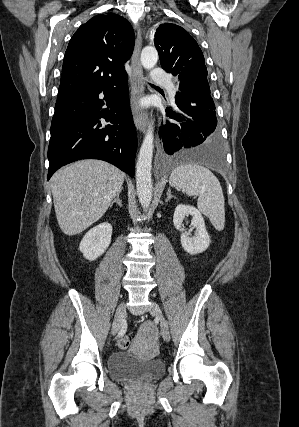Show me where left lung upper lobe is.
Masks as SVG:
<instances>
[{"label":"left lung upper lobe","instance_id":"left-lung-upper-lobe-1","mask_svg":"<svg viewBox=\"0 0 299 427\" xmlns=\"http://www.w3.org/2000/svg\"><path fill=\"white\" fill-rule=\"evenodd\" d=\"M154 44L162 68L179 78V92L215 106L210 95L204 56L194 38L182 27L164 23L156 30Z\"/></svg>","mask_w":299,"mask_h":427}]
</instances>
